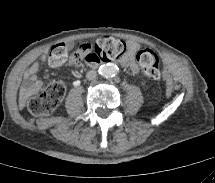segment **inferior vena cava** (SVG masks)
Returning <instances> with one entry per match:
<instances>
[{"label":"inferior vena cava","mask_w":215,"mask_h":183,"mask_svg":"<svg viewBox=\"0 0 215 183\" xmlns=\"http://www.w3.org/2000/svg\"><path fill=\"white\" fill-rule=\"evenodd\" d=\"M96 77H97V73L94 70H90L86 73V78L88 80H94V79H96Z\"/></svg>","instance_id":"inferior-vena-cava-1"}]
</instances>
